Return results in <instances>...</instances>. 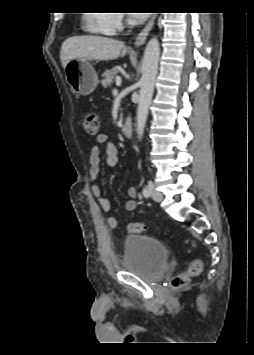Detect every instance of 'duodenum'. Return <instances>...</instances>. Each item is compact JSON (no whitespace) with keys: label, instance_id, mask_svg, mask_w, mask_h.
<instances>
[{"label":"duodenum","instance_id":"1","mask_svg":"<svg viewBox=\"0 0 254 355\" xmlns=\"http://www.w3.org/2000/svg\"><path fill=\"white\" fill-rule=\"evenodd\" d=\"M122 132H123L124 136H126L128 138L133 136L134 129H133L132 123L129 120H126L123 123Z\"/></svg>","mask_w":254,"mask_h":355}]
</instances>
